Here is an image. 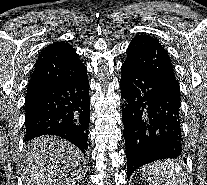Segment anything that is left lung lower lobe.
<instances>
[{"instance_id":"obj_1","label":"left lung lower lobe","mask_w":207,"mask_h":185,"mask_svg":"<svg viewBox=\"0 0 207 185\" xmlns=\"http://www.w3.org/2000/svg\"><path fill=\"white\" fill-rule=\"evenodd\" d=\"M120 88L128 102L123 109L127 178L139 167L182 153L180 96L156 78L122 65Z\"/></svg>"}]
</instances>
